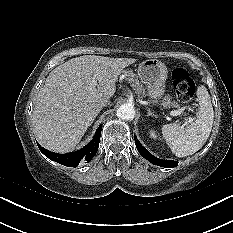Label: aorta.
I'll use <instances>...</instances> for the list:
<instances>
[{
    "instance_id": "aorta-1",
    "label": "aorta",
    "mask_w": 233,
    "mask_h": 233,
    "mask_svg": "<svg viewBox=\"0 0 233 233\" xmlns=\"http://www.w3.org/2000/svg\"><path fill=\"white\" fill-rule=\"evenodd\" d=\"M117 116L123 120H132L135 116L134 107L131 104H123L117 109Z\"/></svg>"
}]
</instances>
